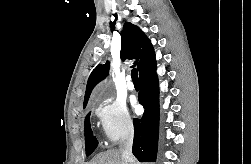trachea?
I'll use <instances>...</instances> for the list:
<instances>
[{
	"label": "trachea",
	"mask_w": 251,
	"mask_h": 164,
	"mask_svg": "<svg viewBox=\"0 0 251 164\" xmlns=\"http://www.w3.org/2000/svg\"><path fill=\"white\" fill-rule=\"evenodd\" d=\"M131 76H132L133 82H139L137 69H132Z\"/></svg>",
	"instance_id": "3493384b"
}]
</instances>
